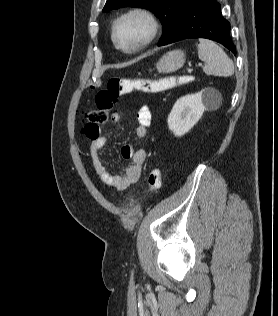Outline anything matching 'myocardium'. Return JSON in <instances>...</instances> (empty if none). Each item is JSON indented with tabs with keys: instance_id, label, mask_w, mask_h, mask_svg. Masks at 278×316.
<instances>
[{
	"instance_id": "f54148a6",
	"label": "myocardium",
	"mask_w": 278,
	"mask_h": 316,
	"mask_svg": "<svg viewBox=\"0 0 278 316\" xmlns=\"http://www.w3.org/2000/svg\"><path fill=\"white\" fill-rule=\"evenodd\" d=\"M128 19H140L145 23L147 30L145 36L134 46L123 47L117 40L116 31L118 25ZM159 28V21L151 10L142 6H135L123 11L114 19L111 26V39L118 50L126 54H133L149 46L156 38Z\"/></svg>"
}]
</instances>
